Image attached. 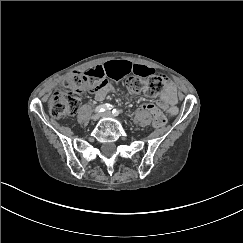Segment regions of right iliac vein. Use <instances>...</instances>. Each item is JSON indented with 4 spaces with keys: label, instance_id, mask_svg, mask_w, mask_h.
Returning a JSON list of instances; mask_svg holds the SVG:
<instances>
[{
    "label": "right iliac vein",
    "instance_id": "obj_1",
    "mask_svg": "<svg viewBox=\"0 0 243 243\" xmlns=\"http://www.w3.org/2000/svg\"><path fill=\"white\" fill-rule=\"evenodd\" d=\"M100 116H101L100 113L94 114L92 117L93 121H97L100 118Z\"/></svg>",
    "mask_w": 243,
    "mask_h": 243
}]
</instances>
